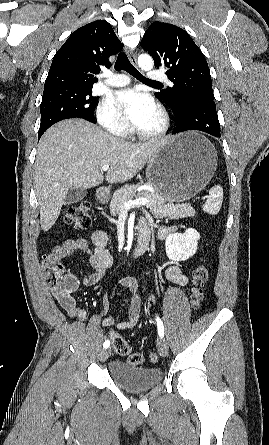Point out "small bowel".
Returning <instances> with one entry per match:
<instances>
[{"label":"small bowel","mask_w":269,"mask_h":445,"mask_svg":"<svg viewBox=\"0 0 269 445\" xmlns=\"http://www.w3.org/2000/svg\"><path fill=\"white\" fill-rule=\"evenodd\" d=\"M140 232H151L149 224L146 221H141ZM176 231V227L163 226L159 229L158 237L160 239L166 238L168 235ZM108 237L103 230H96L92 234V246L90 247L88 241L84 238L66 240L62 244L56 246L51 254L50 258L55 262H60L65 257L72 256L76 252L81 251L88 255L89 263L92 268V272L84 276L83 283L87 286L97 283L105 274L106 270L112 265L113 258L109 250L107 249ZM77 286V280L74 276L69 275ZM166 276L169 280L179 286H187L188 278L178 266H169L166 269ZM118 285L126 287L133 293V299L129 305L127 319L124 321H118L115 317L109 314V299L108 295L102 296V312L104 314L103 325L105 327H115L118 329H131L135 327L140 321V285L138 281L131 277L125 276L118 281ZM55 298L58 300L67 314L79 321H84L87 318V312L84 308L77 305L71 294L68 295L69 303L64 301V293L62 291H54ZM152 298V296H151Z\"/></svg>","instance_id":"c3829d8e"}]
</instances>
